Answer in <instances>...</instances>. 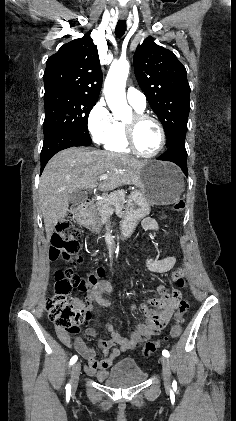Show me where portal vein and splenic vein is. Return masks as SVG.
<instances>
[{"label": "portal vein and splenic vein", "mask_w": 236, "mask_h": 421, "mask_svg": "<svg viewBox=\"0 0 236 421\" xmlns=\"http://www.w3.org/2000/svg\"><path fill=\"white\" fill-rule=\"evenodd\" d=\"M104 178H108V174H101V176H99L98 180H104Z\"/></svg>", "instance_id": "portal-vein-and-splenic-vein-1"}]
</instances>
